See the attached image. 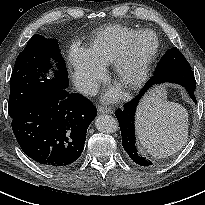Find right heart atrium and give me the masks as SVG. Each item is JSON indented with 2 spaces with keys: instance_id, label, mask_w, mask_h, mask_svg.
I'll list each match as a JSON object with an SVG mask.
<instances>
[{
  "instance_id": "obj_1",
  "label": "right heart atrium",
  "mask_w": 205,
  "mask_h": 205,
  "mask_svg": "<svg viewBox=\"0 0 205 205\" xmlns=\"http://www.w3.org/2000/svg\"><path fill=\"white\" fill-rule=\"evenodd\" d=\"M69 60L73 66V76L78 87L86 93H92L102 76L101 65L96 63L89 53L79 46L71 47Z\"/></svg>"
}]
</instances>
